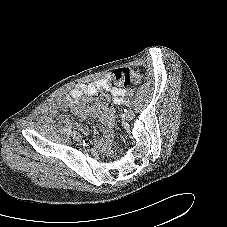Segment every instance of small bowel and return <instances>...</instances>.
Instances as JSON below:
<instances>
[{
  "label": "small bowel",
  "mask_w": 227,
  "mask_h": 227,
  "mask_svg": "<svg viewBox=\"0 0 227 227\" xmlns=\"http://www.w3.org/2000/svg\"><path fill=\"white\" fill-rule=\"evenodd\" d=\"M112 74L90 83H80L70 90L68 94L48 103L42 109V119L52 123L61 118L60 112L69 109L72 113L80 116L98 118L104 126L110 128L113 124L115 111L111 106L109 110L102 113L96 106L82 104L84 97L92 98L101 91L109 92L112 95L113 103L120 105L125 99V90L119 89L111 83ZM70 125H74L83 135H88V128L84 125L73 124L70 120L63 118Z\"/></svg>",
  "instance_id": "1"
}]
</instances>
